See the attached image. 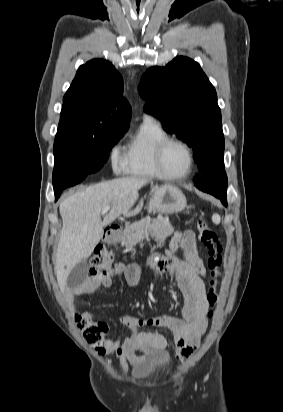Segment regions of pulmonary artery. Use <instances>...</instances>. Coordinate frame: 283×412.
Segmentation results:
<instances>
[{"label":"pulmonary artery","mask_w":283,"mask_h":412,"mask_svg":"<svg viewBox=\"0 0 283 412\" xmlns=\"http://www.w3.org/2000/svg\"><path fill=\"white\" fill-rule=\"evenodd\" d=\"M145 119H151L152 120V118L150 116H147V115L144 116V120Z\"/></svg>","instance_id":"e3ab8cb5"}]
</instances>
